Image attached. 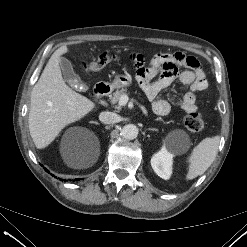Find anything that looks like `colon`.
<instances>
[{
    "label": "colon",
    "mask_w": 247,
    "mask_h": 247,
    "mask_svg": "<svg viewBox=\"0 0 247 247\" xmlns=\"http://www.w3.org/2000/svg\"><path fill=\"white\" fill-rule=\"evenodd\" d=\"M115 57V53L105 51L94 61L84 63L83 67L86 71H96L105 67L111 60L115 59ZM183 124L192 132H200L204 128V122L196 111L187 112L183 117Z\"/></svg>",
    "instance_id": "5ec220e1"
}]
</instances>
